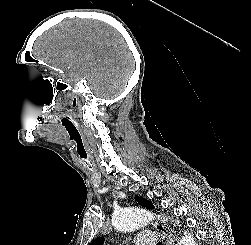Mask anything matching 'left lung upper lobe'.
<instances>
[{
	"instance_id": "left-lung-upper-lobe-1",
	"label": "left lung upper lobe",
	"mask_w": 251,
	"mask_h": 245,
	"mask_svg": "<svg viewBox=\"0 0 251 245\" xmlns=\"http://www.w3.org/2000/svg\"><path fill=\"white\" fill-rule=\"evenodd\" d=\"M135 200L142 206L146 207V208H154L153 204L149 201V200H146L142 197H139V196H135ZM105 239L104 237H99L97 238L95 241L92 242L91 245H103Z\"/></svg>"
}]
</instances>
